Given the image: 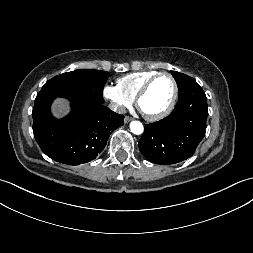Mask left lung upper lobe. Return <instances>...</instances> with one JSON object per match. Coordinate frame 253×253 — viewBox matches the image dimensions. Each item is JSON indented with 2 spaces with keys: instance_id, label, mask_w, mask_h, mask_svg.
<instances>
[{
  "instance_id": "obj_1",
  "label": "left lung upper lobe",
  "mask_w": 253,
  "mask_h": 253,
  "mask_svg": "<svg viewBox=\"0 0 253 253\" xmlns=\"http://www.w3.org/2000/svg\"><path fill=\"white\" fill-rule=\"evenodd\" d=\"M171 73L177 82L179 94L184 92L190 85L196 82L193 78L182 73L176 71H172Z\"/></svg>"
}]
</instances>
